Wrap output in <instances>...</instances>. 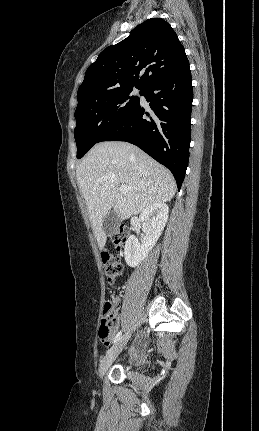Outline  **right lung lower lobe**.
<instances>
[{
    "label": "right lung lower lobe",
    "instance_id": "obj_1",
    "mask_svg": "<svg viewBox=\"0 0 259 431\" xmlns=\"http://www.w3.org/2000/svg\"><path fill=\"white\" fill-rule=\"evenodd\" d=\"M143 96L150 112L139 102L99 142L127 141L138 146L172 172L180 190L191 141L193 89L189 64L151 84Z\"/></svg>",
    "mask_w": 259,
    "mask_h": 431
}]
</instances>
